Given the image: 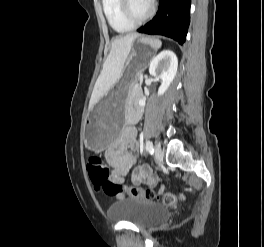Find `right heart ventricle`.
<instances>
[{"label":"right heart ventricle","instance_id":"right-heart-ventricle-1","mask_svg":"<svg viewBox=\"0 0 264 247\" xmlns=\"http://www.w3.org/2000/svg\"><path fill=\"white\" fill-rule=\"evenodd\" d=\"M102 8L109 25L116 32L124 33L133 28L121 13L120 0H102Z\"/></svg>","mask_w":264,"mask_h":247}]
</instances>
